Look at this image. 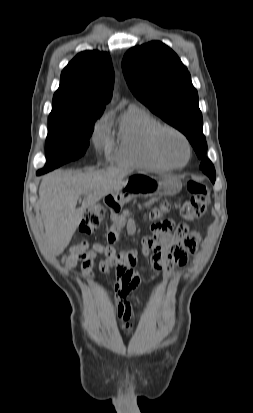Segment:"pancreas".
Instances as JSON below:
<instances>
[{"label": "pancreas", "mask_w": 253, "mask_h": 413, "mask_svg": "<svg viewBox=\"0 0 253 413\" xmlns=\"http://www.w3.org/2000/svg\"><path fill=\"white\" fill-rule=\"evenodd\" d=\"M125 225V214L114 218L112 227L120 231Z\"/></svg>", "instance_id": "pancreas-1"}]
</instances>
